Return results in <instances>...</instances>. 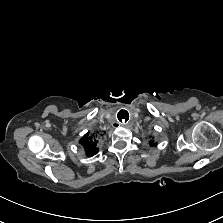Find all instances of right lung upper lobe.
Wrapping results in <instances>:
<instances>
[{"label":"right lung upper lobe","instance_id":"right-lung-upper-lobe-1","mask_svg":"<svg viewBox=\"0 0 223 223\" xmlns=\"http://www.w3.org/2000/svg\"><path fill=\"white\" fill-rule=\"evenodd\" d=\"M97 135L95 134H85L79 141V143L83 146L84 151L88 156H93L98 152L97 149Z\"/></svg>","mask_w":223,"mask_h":223}]
</instances>
